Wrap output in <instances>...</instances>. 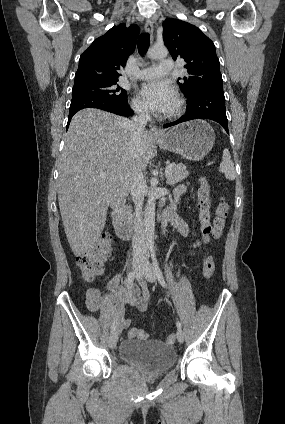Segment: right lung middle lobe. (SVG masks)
I'll use <instances>...</instances> for the list:
<instances>
[{"mask_svg": "<svg viewBox=\"0 0 285 424\" xmlns=\"http://www.w3.org/2000/svg\"><path fill=\"white\" fill-rule=\"evenodd\" d=\"M117 81H88L74 84L72 97L81 95L97 96L125 103L127 102L126 90L119 87Z\"/></svg>", "mask_w": 285, "mask_h": 424, "instance_id": "obj_1", "label": "right lung middle lobe"}]
</instances>
